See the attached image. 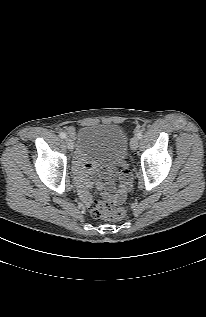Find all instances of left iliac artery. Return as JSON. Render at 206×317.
<instances>
[{
  "label": "left iliac artery",
  "mask_w": 206,
  "mask_h": 317,
  "mask_svg": "<svg viewBox=\"0 0 206 317\" xmlns=\"http://www.w3.org/2000/svg\"><path fill=\"white\" fill-rule=\"evenodd\" d=\"M136 136H137L138 139H141L142 136H143L142 131H139V132L136 134Z\"/></svg>",
  "instance_id": "1"
}]
</instances>
